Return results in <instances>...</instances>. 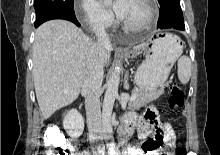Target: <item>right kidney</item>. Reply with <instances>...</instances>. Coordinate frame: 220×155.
Wrapping results in <instances>:
<instances>
[{
	"instance_id": "obj_1",
	"label": "right kidney",
	"mask_w": 220,
	"mask_h": 155,
	"mask_svg": "<svg viewBox=\"0 0 220 155\" xmlns=\"http://www.w3.org/2000/svg\"><path fill=\"white\" fill-rule=\"evenodd\" d=\"M63 127L69 136L77 138L83 133L84 119L77 110L73 109L65 117Z\"/></svg>"
}]
</instances>
